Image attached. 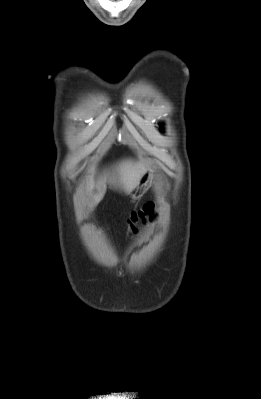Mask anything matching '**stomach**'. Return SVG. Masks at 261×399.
Listing matches in <instances>:
<instances>
[{"label": "stomach", "instance_id": "0dacf381", "mask_svg": "<svg viewBox=\"0 0 261 399\" xmlns=\"http://www.w3.org/2000/svg\"><path fill=\"white\" fill-rule=\"evenodd\" d=\"M152 179V170L148 169L142 176V178L140 179V182L137 186V189L142 188L144 186H146L149 181Z\"/></svg>", "mask_w": 261, "mask_h": 399}]
</instances>
